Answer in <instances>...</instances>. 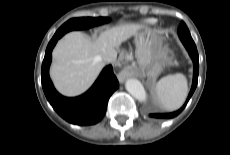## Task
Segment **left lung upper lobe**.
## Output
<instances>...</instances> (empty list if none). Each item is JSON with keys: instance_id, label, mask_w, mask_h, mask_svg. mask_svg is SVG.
<instances>
[{"instance_id": "5c2ea615", "label": "left lung upper lobe", "mask_w": 230, "mask_h": 155, "mask_svg": "<svg viewBox=\"0 0 230 155\" xmlns=\"http://www.w3.org/2000/svg\"><path fill=\"white\" fill-rule=\"evenodd\" d=\"M178 35H179V38L182 42L184 40L193 41V39L190 35V32H189L186 24L183 21L180 23V26L178 28Z\"/></svg>"}]
</instances>
